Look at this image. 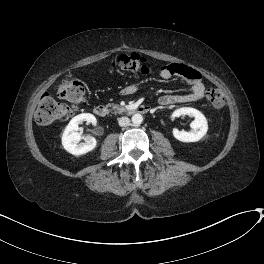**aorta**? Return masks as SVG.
Returning a JSON list of instances; mask_svg holds the SVG:
<instances>
[{"mask_svg": "<svg viewBox=\"0 0 264 264\" xmlns=\"http://www.w3.org/2000/svg\"><path fill=\"white\" fill-rule=\"evenodd\" d=\"M131 120L134 125H140L143 121V116L141 114H134Z\"/></svg>", "mask_w": 264, "mask_h": 264, "instance_id": "1", "label": "aorta"}]
</instances>
